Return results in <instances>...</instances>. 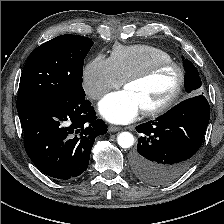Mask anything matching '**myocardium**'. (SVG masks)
Wrapping results in <instances>:
<instances>
[{"mask_svg":"<svg viewBox=\"0 0 224 224\" xmlns=\"http://www.w3.org/2000/svg\"><path fill=\"white\" fill-rule=\"evenodd\" d=\"M167 68H172L176 71L177 73V83L176 86L171 93V95L161 104L149 108V109H144L142 110V114L144 116H157L160 115L170 108H172L175 103L178 101L184 85H185V80H186V72L184 68L178 64L177 62L174 61H164V62H156L144 69L141 72L135 73L131 76H129L125 81H124V88H126L127 85L131 83H136V82H141L145 81L152 76H154L156 73L167 69Z\"/></svg>","mask_w":224,"mask_h":224,"instance_id":"myocardium-1","label":"myocardium"}]
</instances>
